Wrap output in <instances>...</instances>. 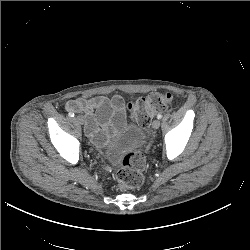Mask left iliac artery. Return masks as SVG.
Wrapping results in <instances>:
<instances>
[{"instance_id": "44dca946", "label": "left iliac artery", "mask_w": 250, "mask_h": 250, "mask_svg": "<svg viewBox=\"0 0 250 250\" xmlns=\"http://www.w3.org/2000/svg\"><path fill=\"white\" fill-rule=\"evenodd\" d=\"M157 118H158V119H161V118H162V115H161V114H158V115H157Z\"/></svg>"}]
</instances>
